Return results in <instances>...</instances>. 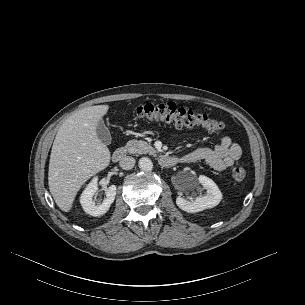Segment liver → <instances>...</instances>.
<instances>
[{
    "instance_id": "1",
    "label": "liver",
    "mask_w": 305,
    "mask_h": 305,
    "mask_svg": "<svg viewBox=\"0 0 305 305\" xmlns=\"http://www.w3.org/2000/svg\"><path fill=\"white\" fill-rule=\"evenodd\" d=\"M108 105L84 108L59 128L50 155L48 185L57 206L69 212L81 186L110 163V151L97 136Z\"/></svg>"
}]
</instances>
